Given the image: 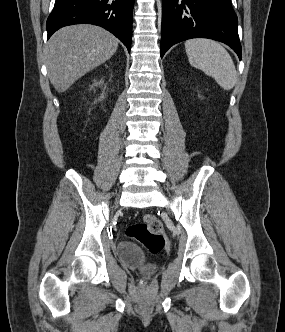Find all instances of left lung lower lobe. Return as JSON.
<instances>
[{
    "mask_svg": "<svg viewBox=\"0 0 285 332\" xmlns=\"http://www.w3.org/2000/svg\"><path fill=\"white\" fill-rule=\"evenodd\" d=\"M199 37L227 44L241 59L238 20L231 0H163L161 57L174 44Z\"/></svg>",
    "mask_w": 285,
    "mask_h": 332,
    "instance_id": "left-lung-lower-lobe-1",
    "label": "left lung lower lobe"
}]
</instances>
